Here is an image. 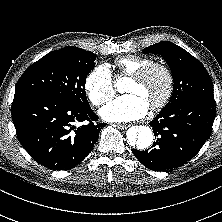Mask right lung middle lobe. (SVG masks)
I'll list each match as a JSON object with an SVG mask.
<instances>
[{
	"mask_svg": "<svg viewBox=\"0 0 222 222\" xmlns=\"http://www.w3.org/2000/svg\"><path fill=\"white\" fill-rule=\"evenodd\" d=\"M95 59L94 53L72 46L50 52L22 74L15 93H44L89 105L84 86L88 73L95 66Z\"/></svg>",
	"mask_w": 222,
	"mask_h": 222,
	"instance_id": "1",
	"label": "right lung middle lobe"
}]
</instances>
